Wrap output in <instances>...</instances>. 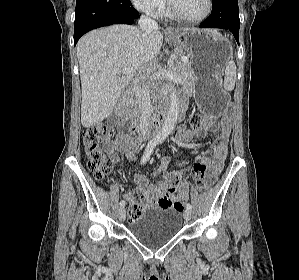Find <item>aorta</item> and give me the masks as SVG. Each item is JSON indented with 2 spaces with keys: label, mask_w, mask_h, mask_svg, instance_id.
<instances>
[{
  "label": "aorta",
  "mask_w": 299,
  "mask_h": 280,
  "mask_svg": "<svg viewBox=\"0 0 299 280\" xmlns=\"http://www.w3.org/2000/svg\"><path fill=\"white\" fill-rule=\"evenodd\" d=\"M170 106L167 118L162 126V129L157 134L158 139H165L174 129L179 114V99L176 88L171 81L169 82Z\"/></svg>",
  "instance_id": "1"
}]
</instances>
